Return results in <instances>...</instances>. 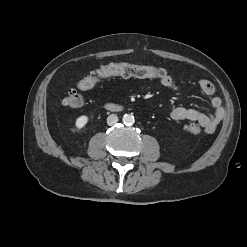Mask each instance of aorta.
Wrapping results in <instances>:
<instances>
[{
	"mask_svg": "<svg viewBox=\"0 0 247 247\" xmlns=\"http://www.w3.org/2000/svg\"><path fill=\"white\" fill-rule=\"evenodd\" d=\"M123 120V123L126 125V126H131L134 124V116L133 115H130V114H125L122 118Z\"/></svg>",
	"mask_w": 247,
	"mask_h": 247,
	"instance_id": "762f6f07",
	"label": "aorta"
}]
</instances>
